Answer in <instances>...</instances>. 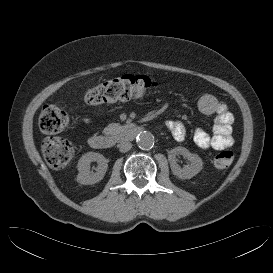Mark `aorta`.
<instances>
[{
    "mask_svg": "<svg viewBox=\"0 0 273 273\" xmlns=\"http://www.w3.org/2000/svg\"><path fill=\"white\" fill-rule=\"evenodd\" d=\"M137 145L142 150H150L154 146V136L150 132H142L137 137Z\"/></svg>",
    "mask_w": 273,
    "mask_h": 273,
    "instance_id": "aorta-1",
    "label": "aorta"
}]
</instances>
